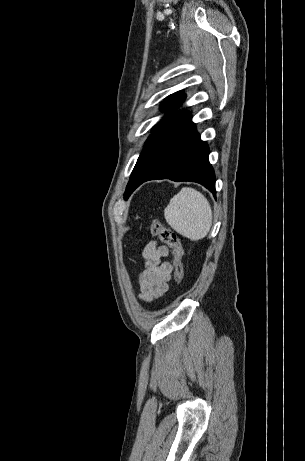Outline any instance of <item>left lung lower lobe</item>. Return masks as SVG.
<instances>
[{"instance_id":"obj_1","label":"left lung lower lobe","mask_w":305,"mask_h":461,"mask_svg":"<svg viewBox=\"0 0 305 461\" xmlns=\"http://www.w3.org/2000/svg\"><path fill=\"white\" fill-rule=\"evenodd\" d=\"M151 151V165L133 191L148 180L170 179L197 182L216 196L215 175L208 160L209 149L200 140L190 113H178L168 119L155 133Z\"/></svg>"}]
</instances>
